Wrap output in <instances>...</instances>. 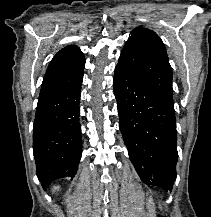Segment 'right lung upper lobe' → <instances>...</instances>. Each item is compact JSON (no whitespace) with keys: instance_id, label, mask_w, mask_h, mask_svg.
<instances>
[{"instance_id":"obj_1","label":"right lung upper lobe","mask_w":211,"mask_h":217,"mask_svg":"<svg viewBox=\"0 0 211 217\" xmlns=\"http://www.w3.org/2000/svg\"><path fill=\"white\" fill-rule=\"evenodd\" d=\"M85 58L75 45L61 49L51 60L44 76L40 96L74 83L83 73Z\"/></svg>"}]
</instances>
